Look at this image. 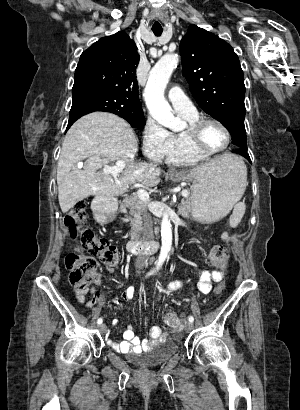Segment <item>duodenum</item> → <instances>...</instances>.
<instances>
[{"label":"duodenum","instance_id":"duodenum-1","mask_svg":"<svg viewBox=\"0 0 300 410\" xmlns=\"http://www.w3.org/2000/svg\"><path fill=\"white\" fill-rule=\"evenodd\" d=\"M113 200L109 198H98L93 202V214L98 222H106L107 216L113 210ZM148 241V242H146ZM126 248L131 253L150 255L157 249V244L149 240L130 239Z\"/></svg>","mask_w":300,"mask_h":410}]
</instances>
